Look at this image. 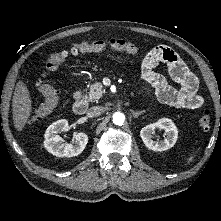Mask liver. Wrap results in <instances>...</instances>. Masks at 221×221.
<instances>
[{
    "label": "liver",
    "mask_w": 221,
    "mask_h": 221,
    "mask_svg": "<svg viewBox=\"0 0 221 221\" xmlns=\"http://www.w3.org/2000/svg\"><path fill=\"white\" fill-rule=\"evenodd\" d=\"M12 111L14 126L18 131H21L32 111L30 94L23 81H19L16 84L12 99Z\"/></svg>",
    "instance_id": "1"
}]
</instances>
